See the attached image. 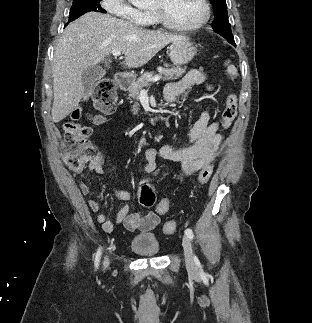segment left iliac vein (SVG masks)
Wrapping results in <instances>:
<instances>
[{
	"label": "left iliac vein",
	"instance_id": "1",
	"mask_svg": "<svg viewBox=\"0 0 312 323\" xmlns=\"http://www.w3.org/2000/svg\"><path fill=\"white\" fill-rule=\"evenodd\" d=\"M182 245L184 248V252H185V261H186V267L188 270H195V260H194V256H193V250H192V245L190 242V239L187 235L183 236V240H182Z\"/></svg>",
	"mask_w": 312,
	"mask_h": 323
}]
</instances>
